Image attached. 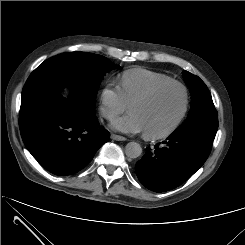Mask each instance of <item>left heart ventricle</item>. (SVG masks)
I'll return each instance as SVG.
<instances>
[{
	"instance_id": "b2bd125f",
	"label": "left heart ventricle",
	"mask_w": 245,
	"mask_h": 245,
	"mask_svg": "<svg viewBox=\"0 0 245 245\" xmlns=\"http://www.w3.org/2000/svg\"><path fill=\"white\" fill-rule=\"evenodd\" d=\"M184 104L182 90L176 86L160 90L151 100L131 106L130 112L141 120L144 132L158 133L178 118Z\"/></svg>"
}]
</instances>
